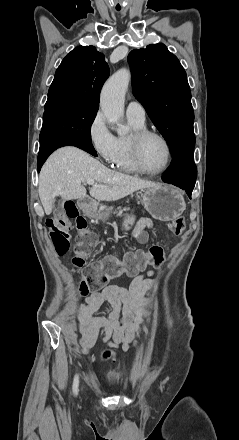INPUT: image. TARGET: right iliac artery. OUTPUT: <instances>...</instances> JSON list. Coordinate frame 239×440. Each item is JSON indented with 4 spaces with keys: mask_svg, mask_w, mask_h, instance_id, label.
Segmentation results:
<instances>
[{
    "mask_svg": "<svg viewBox=\"0 0 239 440\" xmlns=\"http://www.w3.org/2000/svg\"><path fill=\"white\" fill-rule=\"evenodd\" d=\"M78 384H79L78 375H75L74 382H73V392L75 395L78 392Z\"/></svg>",
    "mask_w": 239,
    "mask_h": 440,
    "instance_id": "obj_1",
    "label": "right iliac artery"
}]
</instances>
